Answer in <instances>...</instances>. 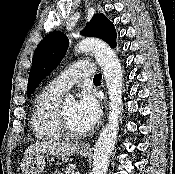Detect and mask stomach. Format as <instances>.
<instances>
[{
	"label": "stomach",
	"mask_w": 175,
	"mask_h": 174,
	"mask_svg": "<svg viewBox=\"0 0 175 174\" xmlns=\"http://www.w3.org/2000/svg\"><path fill=\"white\" fill-rule=\"evenodd\" d=\"M83 157H87L90 152L80 150ZM45 168V157L43 154L33 155L25 158L21 164L23 174H42Z\"/></svg>",
	"instance_id": "1"
}]
</instances>
